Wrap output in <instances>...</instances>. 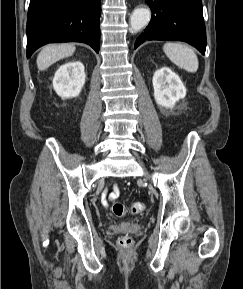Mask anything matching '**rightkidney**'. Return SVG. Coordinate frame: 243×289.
<instances>
[{"instance_id": "obj_1", "label": "right kidney", "mask_w": 243, "mask_h": 289, "mask_svg": "<svg viewBox=\"0 0 243 289\" xmlns=\"http://www.w3.org/2000/svg\"><path fill=\"white\" fill-rule=\"evenodd\" d=\"M84 65L80 61H70L59 67L53 78V88L62 98L77 97L85 84Z\"/></svg>"}]
</instances>
